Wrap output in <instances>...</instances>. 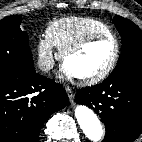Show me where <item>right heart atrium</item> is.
Segmentation results:
<instances>
[{"label":"right heart atrium","instance_id":"1","mask_svg":"<svg viewBox=\"0 0 142 142\" xmlns=\"http://www.w3.org/2000/svg\"><path fill=\"white\" fill-rule=\"evenodd\" d=\"M36 49L41 67L44 70L51 69L56 59L53 44L46 36L40 37L37 41Z\"/></svg>","mask_w":142,"mask_h":142}]
</instances>
